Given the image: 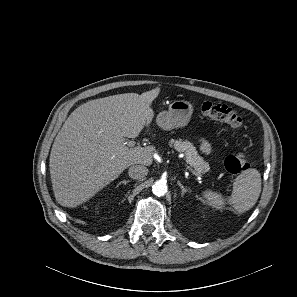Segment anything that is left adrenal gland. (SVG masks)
Instances as JSON below:
<instances>
[{
    "label": "left adrenal gland",
    "mask_w": 297,
    "mask_h": 297,
    "mask_svg": "<svg viewBox=\"0 0 297 297\" xmlns=\"http://www.w3.org/2000/svg\"><path fill=\"white\" fill-rule=\"evenodd\" d=\"M177 183H178L179 187L181 188V192H182L181 196H183L188 191V189L186 187H184L180 181H178Z\"/></svg>",
    "instance_id": "left-adrenal-gland-1"
}]
</instances>
